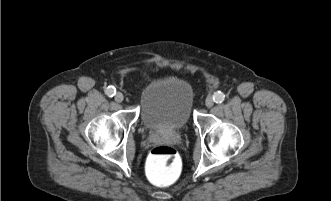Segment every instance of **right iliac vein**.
<instances>
[{"label":"right iliac vein","instance_id":"obj_1","mask_svg":"<svg viewBox=\"0 0 331 201\" xmlns=\"http://www.w3.org/2000/svg\"><path fill=\"white\" fill-rule=\"evenodd\" d=\"M124 100V95L121 92H117L115 95V101L120 103Z\"/></svg>","mask_w":331,"mask_h":201}]
</instances>
